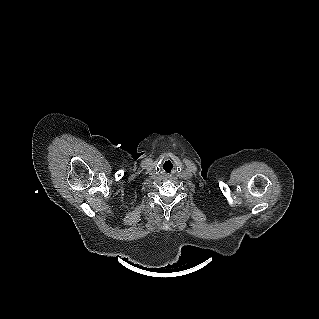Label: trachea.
I'll list each match as a JSON object with an SVG mask.
<instances>
[{"mask_svg":"<svg viewBox=\"0 0 319 319\" xmlns=\"http://www.w3.org/2000/svg\"><path fill=\"white\" fill-rule=\"evenodd\" d=\"M163 169L166 173H170L173 170V164L170 161H166L163 164Z\"/></svg>","mask_w":319,"mask_h":319,"instance_id":"1","label":"trachea"}]
</instances>
